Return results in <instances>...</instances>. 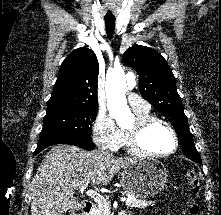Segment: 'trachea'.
<instances>
[{"instance_id":"obj_1","label":"trachea","mask_w":221,"mask_h":215,"mask_svg":"<svg viewBox=\"0 0 221 215\" xmlns=\"http://www.w3.org/2000/svg\"><path fill=\"white\" fill-rule=\"evenodd\" d=\"M106 33L109 39L113 38L115 30V19H105Z\"/></svg>"}]
</instances>
